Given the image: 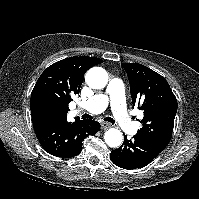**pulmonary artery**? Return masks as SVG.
Wrapping results in <instances>:
<instances>
[{"instance_id": "e3ab8cb5", "label": "pulmonary artery", "mask_w": 199, "mask_h": 199, "mask_svg": "<svg viewBox=\"0 0 199 199\" xmlns=\"http://www.w3.org/2000/svg\"><path fill=\"white\" fill-rule=\"evenodd\" d=\"M108 104H110L112 115L119 126L128 133H135L136 124L131 119L125 105L124 84L118 78H112L109 81L105 93L94 95L82 103L80 110L98 114L104 111Z\"/></svg>"}]
</instances>
